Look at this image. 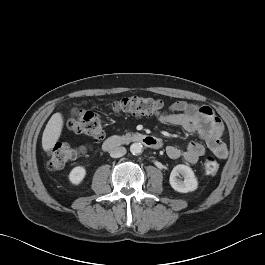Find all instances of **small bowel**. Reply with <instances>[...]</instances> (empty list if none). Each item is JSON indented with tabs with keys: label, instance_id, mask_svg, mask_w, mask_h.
Instances as JSON below:
<instances>
[{
	"label": "small bowel",
	"instance_id": "obj_1",
	"mask_svg": "<svg viewBox=\"0 0 265 265\" xmlns=\"http://www.w3.org/2000/svg\"><path fill=\"white\" fill-rule=\"evenodd\" d=\"M164 125L180 126L190 133H196L204 140L206 146L200 142H190L185 150L176 146H168L167 155L171 159L183 158L187 163H196L206 152V147L219 159L227 156V148L222 142L223 124L215 116L210 106H198L186 101L173 102L169 110L158 117Z\"/></svg>",
	"mask_w": 265,
	"mask_h": 265
}]
</instances>
